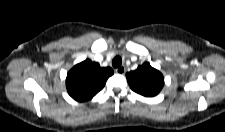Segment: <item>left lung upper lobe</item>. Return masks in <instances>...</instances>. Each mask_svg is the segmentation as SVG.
I'll return each mask as SVG.
<instances>
[{"label":"left lung upper lobe","mask_w":225,"mask_h":132,"mask_svg":"<svg viewBox=\"0 0 225 132\" xmlns=\"http://www.w3.org/2000/svg\"><path fill=\"white\" fill-rule=\"evenodd\" d=\"M126 77L131 89L146 97L157 95L164 85L163 75L147 62L128 72Z\"/></svg>","instance_id":"1"}]
</instances>
